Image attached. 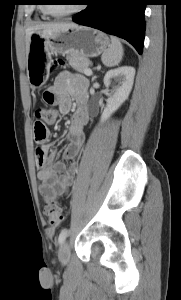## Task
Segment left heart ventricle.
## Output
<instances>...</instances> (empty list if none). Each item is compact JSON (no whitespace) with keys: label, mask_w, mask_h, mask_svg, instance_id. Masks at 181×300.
<instances>
[{"label":"left heart ventricle","mask_w":181,"mask_h":300,"mask_svg":"<svg viewBox=\"0 0 181 300\" xmlns=\"http://www.w3.org/2000/svg\"><path fill=\"white\" fill-rule=\"evenodd\" d=\"M54 2L58 3V5H52L51 7L58 13L67 12L74 8L72 4H69L72 3V1L54 0Z\"/></svg>","instance_id":"left-heart-ventricle-1"}]
</instances>
